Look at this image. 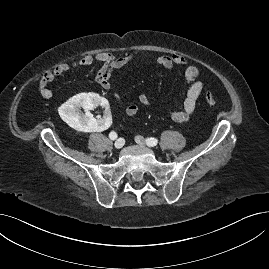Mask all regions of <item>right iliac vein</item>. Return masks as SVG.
Here are the masks:
<instances>
[{"label":"right iliac vein","mask_w":269,"mask_h":269,"mask_svg":"<svg viewBox=\"0 0 269 269\" xmlns=\"http://www.w3.org/2000/svg\"><path fill=\"white\" fill-rule=\"evenodd\" d=\"M124 143H125L124 139L123 138H119V139H117L115 141L114 146H115L116 149H120V148L123 147Z\"/></svg>","instance_id":"right-iliac-vein-1"}]
</instances>
